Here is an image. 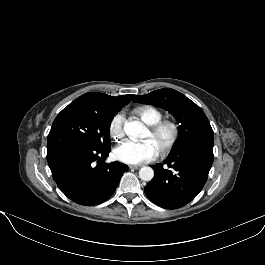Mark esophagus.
Returning <instances> with one entry per match:
<instances>
[{
  "label": "esophagus",
  "instance_id": "34e87169",
  "mask_svg": "<svg viewBox=\"0 0 265 265\" xmlns=\"http://www.w3.org/2000/svg\"><path fill=\"white\" fill-rule=\"evenodd\" d=\"M141 167V165H130L129 168L130 169H139Z\"/></svg>",
  "mask_w": 265,
  "mask_h": 265
}]
</instances>
